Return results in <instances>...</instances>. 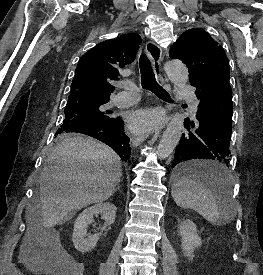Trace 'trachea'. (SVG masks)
Listing matches in <instances>:
<instances>
[{"instance_id": "trachea-1", "label": "trachea", "mask_w": 263, "mask_h": 275, "mask_svg": "<svg viewBox=\"0 0 263 275\" xmlns=\"http://www.w3.org/2000/svg\"><path fill=\"white\" fill-rule=\"evenodd\" d=\"M141 72V85L162 99H171L170 95L157 83L152 65L148 57L143 54L139 61Z\"/></svg>"}]
</instances>
